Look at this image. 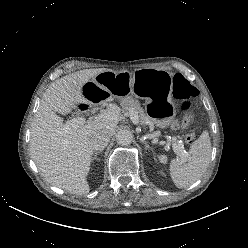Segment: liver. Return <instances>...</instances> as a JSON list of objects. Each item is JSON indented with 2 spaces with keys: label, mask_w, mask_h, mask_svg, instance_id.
<instances>
[{
  "label": "liver",
  "mask_w": 248,
  "mask_h": 248,
  "mask_svg": "<svg viewBox=\"0 0 248 248\" xmlns=\"http://www.w3.org/2000/svg\"><path fill=\"white\" fill-rule=\"evenodd\" d=\"M105 68L85 69L52 83L43 95L31 124L30 153L39 172L53 186L77 195H86L90 187L87 175L93 149L91 137L102 130L114 133L121 115L111 105L88 124L78 125L68 133L60 114H68L78 104H91L83 94V86Z\"/></svg>",
  "instance_id": "6515ba94"
}]
</instances>
